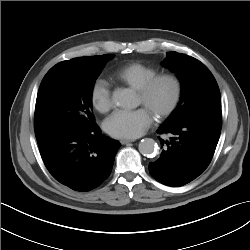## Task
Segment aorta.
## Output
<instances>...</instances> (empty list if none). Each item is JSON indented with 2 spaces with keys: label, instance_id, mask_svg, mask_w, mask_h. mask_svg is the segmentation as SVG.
Segmentation results:
<instances>
[{
  "label": "aorta",
  "instance_id": "aorta-1",
  "mask_svg": "<svg viewBox=\"0 0 250 250\" xmlns=\"http://www.w3.org/2000/svg\"><path fill=\"white\" fill-rule=\"evenodd\" d=\"M112 101L121 108H132L135 103L134 94L128 89H117L113 92ZM139 152L147 157H154L158 151L157 143L151 138H145L140 141Z\"/></svg>",
  "mask_w": 250,
  "mask_h": 250
}]
</instances>
